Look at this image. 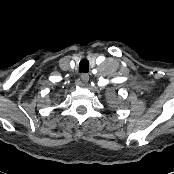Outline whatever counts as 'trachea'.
<instances>
[{
    "label": "trachea",
    "instance_id": "3493384b",
    "mask_svg": "<svg viewBox=\"0 0 174 174\" xmlns=\"http://www.w3.org/2000/svg\"><path fill=\"white\" fill-rule=\"evenodd\" d=\"M79 72L87 73L89 72V61L87 59H82L79 63Z\"/></svg>",
    "mask_w": 174,
    "mask_h": 174
}]
</instances>
